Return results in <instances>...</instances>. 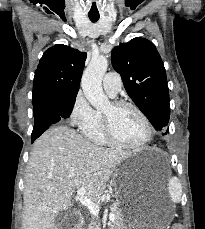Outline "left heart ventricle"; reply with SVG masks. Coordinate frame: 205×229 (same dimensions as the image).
I'll list each match as a JSON object with an SVG mask.
<instances>
[{
	"label": "left heart ventricle",
	"mask_w": 205,
	"mask_h": 229,
	"mask_svg": "<svg viewBox=\"0 0 205 229\" xmlns=\"http://www.w3.org/2000/svg\"><path fill=\"white\" fill-rule=\"evenodd\" d=\"M113 122L116 137L124 143L135 144L142 141L146 135L145 125L140 116L129 107L115 109L109 103L103 110Z\"/></svg>",
	"instance_id": "obj_1"
}]
</instances>
